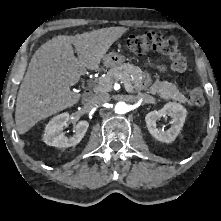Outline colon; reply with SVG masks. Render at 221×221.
<instances>
[{"instance_id":"colon-1","label":"colon","mask_w":221,"mask_h":221,"mask_svg":"<svg viewBox=\"0 0 221 221\" xmlns=\"http://www.w3.org/2000/svg\"><path fill=\"white\" fill-rule=\"evenodd\" d=\"M126 46L135 54L153 50L167 55L175 72L184 73L188 69L187 61L179 50L177 40L161 32L148 31L132 35L128 38ZM186 95L188 102L192 105L200 106L204 103L203 92L200 88L190 87L186 90Z\"/></svg>"}]
</instances>
